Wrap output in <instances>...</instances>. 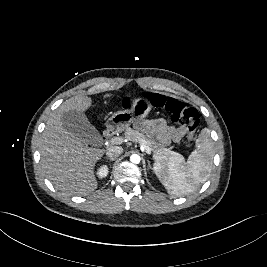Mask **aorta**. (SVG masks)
<instances>
[{
  "instance_id": "762f6f07",
  "label": "aorta",
  "mask_w": 267,
  "mask_h": 267,
  "mask_svg": "<svg viewBox=\"0 0 267 267\" xmlns=\"http://www.w3.org/2000/svg\"><path fill=\"white\" fill-rule=\"evenodd\" d=\"M140 156L138 155V154H132L131 156H130V161L132 162V163H134V164H138V163H140Z\"/></svg>"
}]
</instances>
